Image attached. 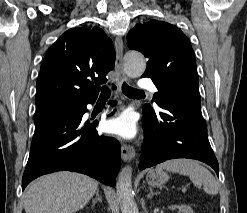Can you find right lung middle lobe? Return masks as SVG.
I'll return each mask as SVG.
<instances>
[{
    "mask_svg": "<svg viewBox=\"0 0 247 213\" xmlns=\"http://www.w3.org/2000/svg\"><path fill=\"white\" fill-rule=\"evenodd\" d=\"M43 107H41V108H43ZM41 108H39V109H41ZM39 109H37V110H39ZM60 109L64 110V111H67V112H70V113L77 110L75 107H73L72 105H68V104L62 106Z\"/></svg>",
    "mask_w": 247,
    "mask_h": 213,
    "instance_id": "dd1d6c3e",
    "label": "right lung middle lobe"
}]
</instances>
